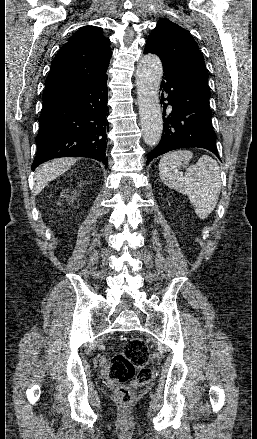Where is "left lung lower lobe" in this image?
I'll return each instance as SVG.
<instances>
[{"mask_svg":"<svg viewBox=\"0 0 257 439\" xmlns=\"http://www.w3.org/2000/svg\"><path fill=\"white\" fill-rule=\"evenodd\" d=\"M145 54L151 53L148 50ZM160 90L163 104V135L158 146L147 156V164L154 158L180 148H204L219 159L216 134L212 128L210 96L186 77L164 68ZM167 101L168 104L164 103ZM171 109L167 110V106Z\"/></svg>","mask_w":257,"mask_h":439,"instance_id":"1","label":"left lung lower lobe"}]
</instances>
